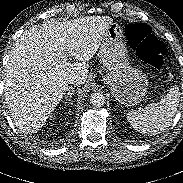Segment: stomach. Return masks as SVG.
Masks as SVG:
<instances>
[{
	"mask_svg": "<svg viewBox=\"0 0 183 183\" xmlns=\"http://www.w3.org/2000/svg\"><path fill=\"white\" fill-rule=\"evenodd\" d=\"M100 57L107 71L104 82L115 99L127 107L143 101L148 89L147 76L129 65L123 28L117 23H112L105 32L100 45Z\"/></svg>",
	"mask_w": 183,
	"mask_h": 183,
	"instance_id": "1",
	"label": "stomach"
}]
</instances>
